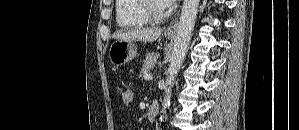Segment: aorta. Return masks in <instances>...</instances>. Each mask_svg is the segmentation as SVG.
I'll return each mask as SVG.
<instances>
[{
  "label": "aorta",
  "instance_id": "1",
  "mask_svg": "<svg viewBox=\"0 0 299 130\" xmlns=\"http://www.w3.org/2000/svg\"><path fill=\"white\" fill-rule=\"evenodd\" d=\"M198 6L199 0H184L183 2L173 53L170 57V65L167 70V88L165 90L162 113H166V109L170 106L172 86L187 54L197 17Z\"/></svg>",
  "mask_w": 299,
  "mask_h": 130
}]
</instances>
